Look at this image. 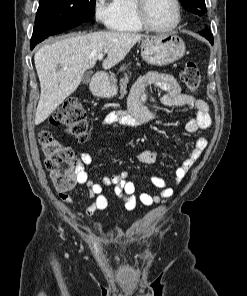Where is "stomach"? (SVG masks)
<instances>
[{
  "instance_id": "1",
  "label": "stomach",
  "mask_w": 247,
  "mask_h": 296,
  "mask_svg": "<svg viewBox=\"0 0 247 296\" xmlns=\"http://www.w3.org/2000/svg\"><path fill=\"white\" fill-rule=\"evenodd\" d=\"M185 54V43L175 33L147 36L141 43V56L149 64L164 66L181 59ZM117 88L107 78L96 86V93L101 97H112Z\"/></svg>"
}]
</instances>
